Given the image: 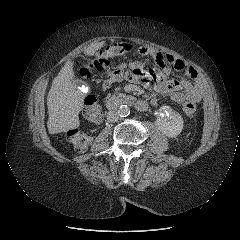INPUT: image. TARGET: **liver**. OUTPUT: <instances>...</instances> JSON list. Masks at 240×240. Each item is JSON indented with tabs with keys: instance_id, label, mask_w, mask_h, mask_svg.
<instances>
[{
	"instance_id": "6515ba94",
	"label": "liver",
	"mask_w": 240,
	"mask_h": 240,
	"mask_svg": "<svg viewBox=\"0 0 240 240\" xmlns=\"http://www.w3.org/2000/svg\"><path fill=\"white\" fill-rule=\"evenodd\" d=\"M105 41L93 43L84 50L86 56H97ZM73 62L68 60L52 82L47 96L48 132H67L80 125L79 112L83 107L84 95L74 83Z\"/></svg>"
}]
</instances>
